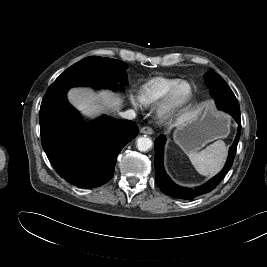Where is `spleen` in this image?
<instances>
[{"instance_id": "obj_1", "label": "spleen", "mask_w": 267, "mask_h": 267, "mask_svg": "<svg viewBox=\"0 0 267 267\" xmlns=\"http://www.w3.org/2000/svg\"><path fill=\"white\" fill-rule=\"evenodd\" d=\"M227 154V146L223 141L218 140L200 152L189 153L188 157L199 174L213 176L222 169Z\"/></svg>"}]
</instances>
